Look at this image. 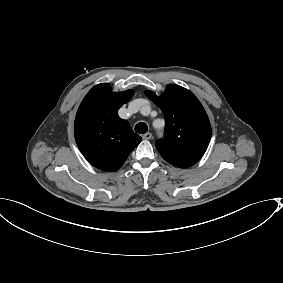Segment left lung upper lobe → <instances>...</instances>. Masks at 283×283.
I'll return each mask as SVG.
<instances>
[{
    "mask_svg": "<svg viewBox=\"0 0 283 283\" xmlns=\"http://www.w3.org/2000/svg\"><path fill=\"white\" fill-rule=\"evenodd\" d=\"M145 93L165 117V139L155 142L160 155L178 168L197 163L211 139L210 122L199 100L175 84H169L161 96L149 90Z\"/></svg>",
    "mask_w": 283,
    "mask_h": 283,
    "instance_id": "5c2ea615",
    "label": "left lung upper lobe"
}]
</instances>
